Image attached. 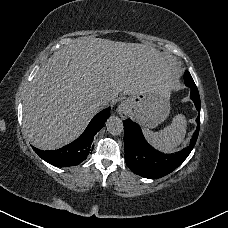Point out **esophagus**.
<instances>
[{
	"label": "esophagus",
	"mask_w": 228,
	"mask_h": 228,
	"mask_svg": "<svg viewBox=\"0 0 228 228\" xmlns=\"http://www.w3.org/2000/svg\"><path fill=\"white\" fill-rule=\"evenodd\" d=\"M129 107H130V103L127 100L123 101L117 108L118 114L122 118L126 117L128 115Z\"/></svg>",
	"instance_id": "obj_1"
}]
</instances>
